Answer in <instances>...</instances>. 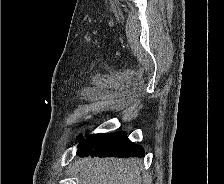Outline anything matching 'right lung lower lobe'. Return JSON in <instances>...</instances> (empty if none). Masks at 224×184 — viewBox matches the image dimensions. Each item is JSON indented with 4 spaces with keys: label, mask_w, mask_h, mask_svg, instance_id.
Instances as JSON below:
<instances>
[{
    "label": "right lung lower lobe",
    "mask_w": 224,
    "mask_h": 184,
    "mask_svg": "<svg viewBox=\"0 0 224 184\" xmlns=\"http://www.w3.org/2000/svg\"><path fill=\"white\" fill-rule=\"evenodd\" d=\"M77 154L81 157H143L144 149L131 142L124 131H119L88 136L78 145Z\"/></svg>",
    "instance_id": "obj_1"
}]
</instances>
